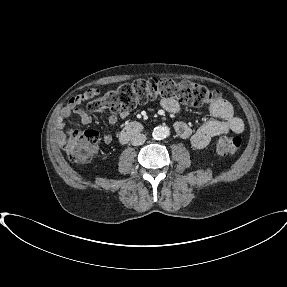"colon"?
Returning <instances> with one entry per match:
<instances>
[{"label": "colon", "instance_id": "5ec220e1", "mask_svg": "<svg viewBox=\"0 0 287 287\" xmlns=\"http://www.w3.org/2000/svg\"><path fill=\"white\" fill-rule=\"evenodd\" d=\"M157 98L173 99L189 106H210L220 98L217 90L189 81H174L166 78L140 79L124 84L92 99L88 108L93 112L129 111L138 104ZM99 134L94 130H74L64 141L63 147L69 159L77 164L89 162L99 146ZM242 147L237 136L222 137L216 143L222 155L234 156Z\"/></svg>", "mask_w": 287, "mask_h": 287}]
</instances>
